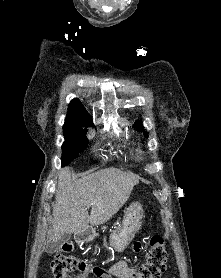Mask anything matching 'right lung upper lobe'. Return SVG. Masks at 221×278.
Listing matches in <instances>:
<instances>
[{
  "label": "right lung upper lobe",
  "instance_id": "obj_1",
  "mask_svg": "<svg viewBox=\"0 0 221 278\" xmlns=\"http://www.w3.org/2000/svg\"><path fill=\"white\" fill-rule=\"evenodd\" d=\"M65 121H76L84 124L93 125L89 113L86 111L83 104L77 98L73 99L70 102L68 108V114Z\"/></svg>",
  "mask_w": 221,
  "mask_h": 278
}]
</instances>
